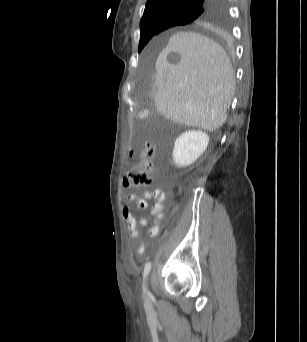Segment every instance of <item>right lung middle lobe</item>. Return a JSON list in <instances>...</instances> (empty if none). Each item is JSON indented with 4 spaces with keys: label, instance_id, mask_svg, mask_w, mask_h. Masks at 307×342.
<instances>
[{
    "label": "right lung middle lobe",
    "instance_id": "right-lung-middle-lobe-1",
    "mask_svg": "<svg viewBox=\"0 0 307 342\" xmlns=\"http://www.w3.org/2000/svg\"><path fill=\"white\" fill-rule=\"evenodd\" d=\"M200 10L184 9L178 11H170L159 16L155 25L141 30L139 52L149 42V40L159 32H162L170 27L178 25H186L195 20L200 15Z\"/></svg>",
    "mask_w": 307,
    "mask_h": 342
}]
</instances>
